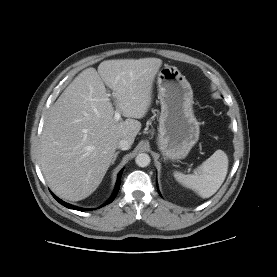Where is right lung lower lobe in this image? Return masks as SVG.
<instances>
[{"label":"right lung lower lobe","mask_w":277,"mask_h":277,"mask_svg":"<svg viewBox=\"0 0 277 277\" xmlns=\"http://www.w3.org/2000/svg\"><path fill=\"white\" fill-rule=\"evenodd\" d=\"M121 174H122V171H120L119 174H118L117 183H116V187H115L114 193H113L111 199H110L105 205L111 203V202L115 199V197H116V195H117V193H118V191H119V188H120ZM51 194L53 195V197H54L60 204H62L63 206H65V207H67V208L74 209V210H78V211H89V210H92V209H84V208H80V207L73 206V205H71V204H68V203L62 201L61 199H59L58 197H56L53 193H51Z\"/></svg>","instance_id":"1"}]
</instances>
